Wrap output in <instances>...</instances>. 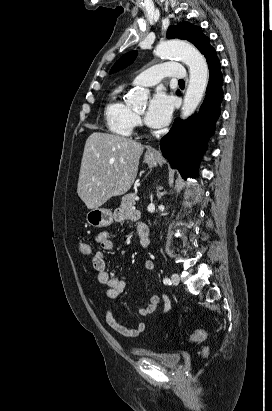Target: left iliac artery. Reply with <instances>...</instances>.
<instances>
[{"label":"left iliac artery","mask_w":272,"mask_h":411,"mask_svg":"<svg viewBox=\"0 0 272 411\" xmlns=\"http://www.w3.org/2000/svg\"><path fill=\"white\" fill-rule=\"evenodd\" d=\"M163 283H164L165 285H170V284H171V280H170L169 278H165V279L163 280Z\"/></svg>","instance_id":"left-iliac-artery-1"}]
</instances>
